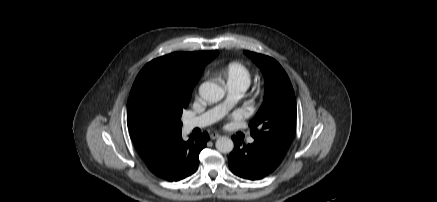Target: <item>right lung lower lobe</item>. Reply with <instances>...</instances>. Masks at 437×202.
Instances as JSON below:
<instances>
[{
    "instance_id": "98d812e1",
    "label": "right lung lower lobe",
    "mask_w": 437,
    "mask_h": 202,
    "mask_svg": "<svg viewBox=\"0 0 437 202\" xmlns=\"http://www.w3.org/2000/svg\"><path fill=\"white\" fill-rule=\"evenodd\" d=\"M209 135L204 132L188 141L178 136L169 146L147 163L149 170L167 181H179L196 172L199 153L205 148Z\"/></svg>"
}]
</instances>
